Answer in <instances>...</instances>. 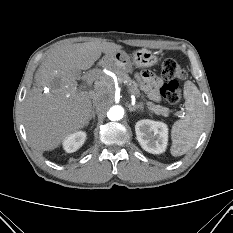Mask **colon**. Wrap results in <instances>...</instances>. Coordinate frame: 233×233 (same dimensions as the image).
Returning <instances> with one entry per match:
<instances>
[{"label": "colon", "mask_w": 233, "mask_h": 233, "mask_svg": "<svg viewBox=\"0 0 233 233\" xmlns=\"http://www.w3.org/2000/svg\"><path fill=\"white\" fill-rule=\"evenodd\" d=\"M162 76L167 82L160 89L162 97L172 105L177 104L181 98L178 80L186 78L185 69L175 60L166 59L161 68Z\"/></svg>", "instance_id": "obj_1"}]
</instances>
